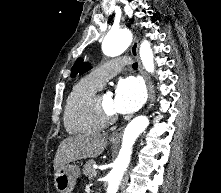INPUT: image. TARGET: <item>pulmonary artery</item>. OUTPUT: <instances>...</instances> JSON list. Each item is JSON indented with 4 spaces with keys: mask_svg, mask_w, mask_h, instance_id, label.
I'll list each match as a JSON object with an SVG mask.
<instances>
[{
    "mask_svg": "<svg viewBox=\"0 0 221 193\" xmlns=\"http://www.w3.org/2000/svg\"><path fill=\"white\" fill-rule=\"evenodd\" d=\"M130 63L127 57H121L107 62L105 65L95 68L90 77L99 85H103L108 79L115 76L124 66Z\"/></svg>",
    "mask_w": 221,
    "mask_h": 193,
    "instance_id": "obj_1",
    "label": "pulmonary artery"
}]
</instances>
